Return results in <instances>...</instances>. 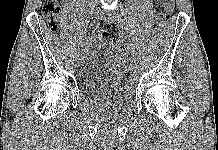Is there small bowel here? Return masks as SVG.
<instances>
[{"label":"small bowel","mask_w":218,"mask_h":150,"mask_svg":"<svg viewBox=\"0 0 218 150\" xmlns=\"http://www.w3.org/2000/svg\"><path fill=\"white\" fill-rule=\"evenodd\" d=\"M164 6H166L169 10L173 8V0H159Z\"/></svg>","instance_id":"obj_1"}]
</instances>
